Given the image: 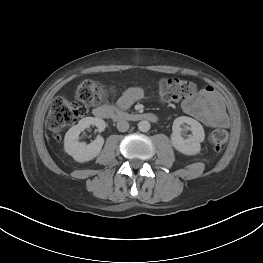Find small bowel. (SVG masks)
<instances>
[{"instance_id": "c3829d8e", "label": "small bowel", "mask_w": 263, "mask_h": 263, "mask_svg": "<svg viewBox=\"0 0 263 263\" xmlns=\"http://www.w3.org/2000/svg\"><path fill=\"white\" fill-rule=\"evenodd\" d=\"M143 97L140 87L127 89L120 97L118 105L122 109L129 108ZM184 112L208 127H227L229 118L220 95L212 86H206L191 98L182 102Z\"/></svg>"}]
</instances>
